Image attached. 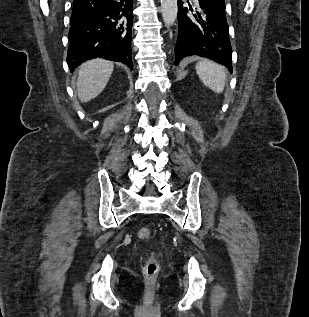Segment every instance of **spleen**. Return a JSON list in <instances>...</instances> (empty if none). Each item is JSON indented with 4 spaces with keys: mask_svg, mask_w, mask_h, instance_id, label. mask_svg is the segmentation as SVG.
<instances>
[{
    "mask_svg": "<svg viewBox=\"0 0 309 317\" xmlns=\"http://www.w3.org/2000/svg\"><path fill=\"white\" fill-rule=\"evenodd\" d=\"M196 72L202 83L216 93H222L225 87L226 73L223 67L209 60L196 65Z\"/></svg>",
    "mask_w": 309,
    "mask_h": 317,
    "instance_id": "spleen-1",
    "label": "spleen"
}]
</instances>
